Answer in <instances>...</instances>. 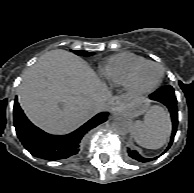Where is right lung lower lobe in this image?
<instances>
[{"instance_id":"obj_1","label":"right lung lower lobe","mask_w":194,"mask_h":193,"mask_svg":"<svg viewBox=\"0 0 194 193\" xmlns=\"http://www.w3.org/2000/svg\"><path fill=\"white\" fill-rule=\"evenodd\" d=\"M14 126L23 146L38 158L54 161L75 155L80 150V145L85 134L103 123L108 113H100L81 126L73 133L66 136H53L33 125L25 116L17 100L14 104Z\"/></svg>"}]
</instances>
